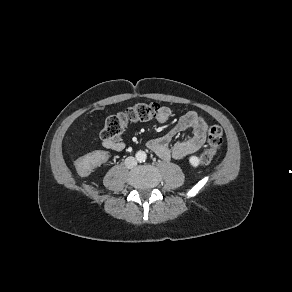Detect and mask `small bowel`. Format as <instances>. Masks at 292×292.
<instances>
[{"label":"small bowel","instance_id":"small-bowel-1","mask_svg":"<svg viewBox=\"0 0 292 292\" xmlns=\"http://www.w3.org/2000/svg\"><path fill=\"white\" fill-rule=\"evenodd\" d=\"M170 115V109L162 106L157 120L160 123H165ZM207 127V123L201 115L189 111L179 118L169 133L149 141L148 147L162 159H182L196 152L205 143ZM189 129L192 131L190 136L172 143L179 133ZM102 144L105 149L115 152L125 149V144L121 141H103Z\"/></svg>","mask_w":292,"mask_h":292}]
</instances>
